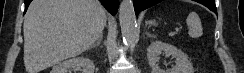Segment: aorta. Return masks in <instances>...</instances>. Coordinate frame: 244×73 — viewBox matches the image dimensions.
Wrapping results in <instances>:
<instances>
[{
	"label": "aorta",
	"instance_id": "obj_1",
	"mask_svg": "<svg viewBox=\"0 0 244 73\" xmlns=\"http://www.w3.org/2000/svg\"><path fill=\"white\" fill-rule=\"evenodd\" d=\"M119 22L125 43L130 42L136 32V17L132 0H123L119 7Z\"/></svg>",
	"mask_w": 244,
	"mask_h": 73
}]
</instances>
